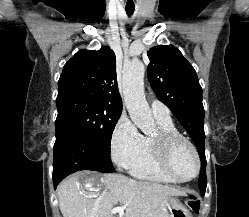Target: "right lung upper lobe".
<instances>
[{
	"mask_svg": "<svg viewBox=\"0 0 249 217\" xmlns=\"http://www.w3.org/2000/svg\"><path fill=\"white\" fill-rule=\"evenodd\" d=\"M83 96L122 108L113 50H80L65 65L58 82V96Z\"/></svg>",
	"mask_w": 249,
	"mask_h": 217,
	"instance_id": "obj_1",
	"label": "right lung upper lobe"
}]
</instances>
